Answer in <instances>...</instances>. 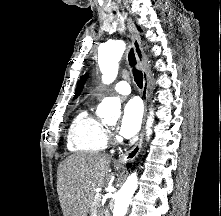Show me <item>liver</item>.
I'll list each match as a JSON object with an SVG mask.
<instances>
[{"mask_svg":"<svg viewBox=\"0 0 221 216\" xmlns=\"http://www.w3.org/2000/svg\"><path fill=\"white\" fill-rule=\"evenodd\" d=\"M111 157L77 153L59 166L57 191L63 216H87L95 189L108 183Z\"/></svg>","mask_w":221,"mask_h":216,"instance_id":"obj_1","label":"liver"}]
</instances>
